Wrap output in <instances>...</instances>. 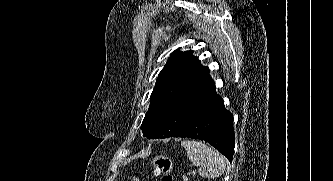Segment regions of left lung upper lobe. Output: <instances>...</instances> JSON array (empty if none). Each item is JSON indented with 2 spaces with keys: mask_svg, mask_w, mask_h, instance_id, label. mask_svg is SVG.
Listing matches in <instances>:
<instances>
[{
  "mask_svg": "<svg viewBox=\"0 0 333 181\" xmlns=\"http://www.w3.org/2000/svg\"><path fill=\"white\" fill-rule=\"evenodd\" d=\"M193 51H174L159 73L150 106L142 122L143 136L149 139L172 137L210 101L215 84Z\"/></svg>",
  "mask_w": 333,
  "mask_h": 181,
  "instance_id": "5c2ea615",
  "label": "left lung upper lobe"
}]
</instances>
